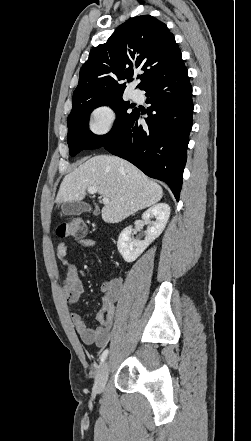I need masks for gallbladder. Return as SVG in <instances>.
Returning <instances> with one entry per match:
<instances>
[{"label": "gallbladder", "mask_w": 251, "mask_h": 441, "mask_svg": "<svg viewBox=\"0 0 251 441\" xmlns=\"http://www.w3.org/2000/svg\"><path fill=\"white\" fill-rule=\"evenodd\" d=\"M90 210V205L77 201L66 202L62 206V213L64 215H80ZM95 214H98V211H96Z\"/></svg>", "instance_id": "1"}]
</instances>
